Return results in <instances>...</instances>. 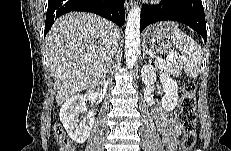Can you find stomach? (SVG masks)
Listing matches in <instances>:
<instances>
[{
    "label": "stomach",
    "mask_w": 231,
    "mask_h": 151,
    "mask_svg": "<svg viewBox=\"0 0 231 151\" xmlns=\"http://www.w3.org/2000/svg\"><path fill=\"white\" fill-rule=\"evenodd\" d=\"M177 24L173 22H160L146 29L143 35V47L153 54L171 52L174 47L173 37L178 31Z\"/></svg>",
    "instance_id": "stomach-1"
}]
</instances>
